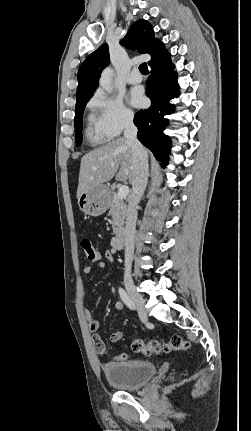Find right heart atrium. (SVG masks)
I'll list each match as a JSON object with an SVG mask.
<instances>
[{"mask_svg": "<svg viewBox=\"0 0 251 431\" xmlns=\"http://www.w3.org/2000/svg\"><path fill=\"white\" fill-rule=\"evenodd\" d=\"M90 122L97 137L112 139L118 136L134 120L133 111L122 98L96 91L88 102Z\"/></svg>", "mask_w": 251, "mask_h": 431, "instance_id": "d8ad5b80", "label": "right heart atrium"}]
</instances>
